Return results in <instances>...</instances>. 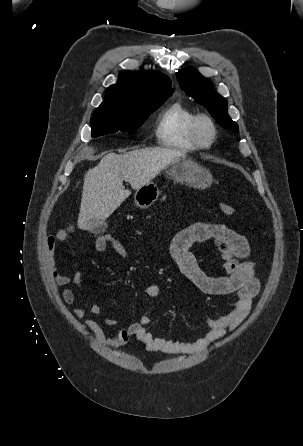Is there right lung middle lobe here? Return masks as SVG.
Masks as SVG:
<instances>
[{
  "instance_id": "dd1d6c3e",
  "label": "right lung middle lobe",
  "mask_w": 303,
  "mask_h": 446,
  "mask_svg": "<svg viewBox=\"0 0 303 446\" xmlns=\"http://www.w3.org/2000/svg\"><path fill=\"white\" fill-rule=\"evenodd\" d=\"M162 104H157L142 111L97 109L93 115L92 137L114 133L119 130L134 132L144 123L145 118Z\"/></svg>"
}]
</instances>
